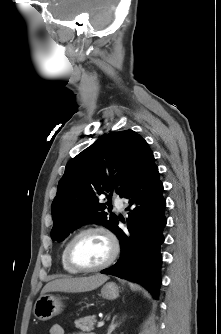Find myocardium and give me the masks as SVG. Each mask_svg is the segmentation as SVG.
<instances>
[{
  "mask_svg": "<svg viewBox=\"0 0 221 334\" xmlns=\"http://www.w3.org/2000/svg\"><path fill=\"white\" fill-rule=\"evenodd\" d=\"M88 232H101L103 233L110 241L111 244V252L109 257L100 265L97 266H93V267H82L77 265L73 259H72V255H71V250H72V246L74 244V242L83 234L88 233ZM119 241L117 236L115 235V233L109 229L106 226L103 225H90V226H86L82 229H80L78 232H76L72 238L68 241L67 246H66V250H65V257H66V261L68 263V265L73 268L74 270L78 271V272H96V271H100L103 270L107 267H109L117 258L118 253H119Z\"/></svg>",
  "mask_w": 221,
  "mask_h": 334,
  "instance_id": "f54148a6",
  "label": "myocardium"
}]
</instances>
